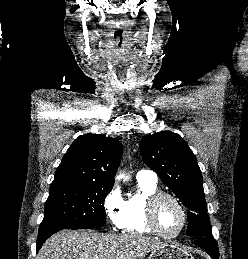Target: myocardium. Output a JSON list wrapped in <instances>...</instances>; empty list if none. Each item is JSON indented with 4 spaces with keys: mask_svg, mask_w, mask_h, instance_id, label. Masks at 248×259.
I'll list each match as a JSON object with an SVG mask.
<instances>
[{
    "mask_svg": "<svg viewBox=\"0 0 248 259\" xmlns=\"http://www.w3.org/2000/svg\"><path fill=\"white\" fill-rule=\"evenodd\" d=\"M164 198H169L171 199L180 209L181 214H182V223L179 228V230L173 234H167L161 230L159 227V224L157 222V207L159 202L164 199ZM146 218L147 222L150 226V228L159 236L166 238V239H172L176 238L179 236L183 230L185 229L187 225V220H188V215H187V210L183 203L180 201L178 197H176L174 194L165 192V191H156L152 195L149 196L147 199V204H146Z\"/></svg>",
    "mask_w": 248,
    "mask_h": 259,
    "instance_id": "myocardium-1",
    "label": "myocardium"
}]
</instances>
